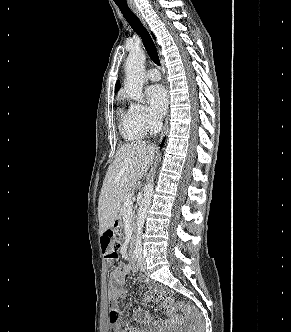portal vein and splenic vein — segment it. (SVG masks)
Segmentation results:
<instances>
[{"label": "portal vein and splenic vein", "mask_w": 291, "mask_h": 332, "mask_svg": "<svg viewBox=\"0 0 291 332\" xmlns=\"http://www.w3.org/2000/svg\"><path fill=\"white\" fill-rule=\"evenodd\" d=\"M132 197L133 194L129 193L124 201L125 206H131L132 205Z\"/></svg>", "instance_id": "portal-vein-and-splenic-vein-1"}]
</instances>
